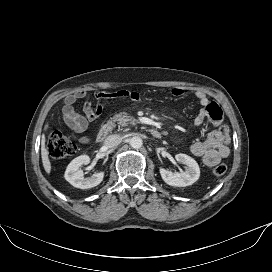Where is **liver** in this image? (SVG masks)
Segmentation results:
<instances>
[{
	"label": "liver",
	"instance_id": "liver-1",
	"mask_svg": "<svg viewBox=\"0 0 272 272\" xmlns=\"http://www.w3.org/2000/svg\"><path fill=\"white\" fill-rule=\"evenodd\" d=\"M48 155H49V152L45 148V136L43 135L42 139H41V158H42L43 167H44L46 173L50 174V172H51V163H50Z\"/></svg>",
	"mask_w": 272,
	"mask_h": 272
}]
</instances>
